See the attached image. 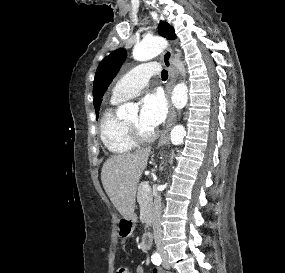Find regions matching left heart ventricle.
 <instances>
[{"label":"left heart ventricle","instance_id":"left-heart-ventricle-1","mask_svg":"<svg viewBox=\"0 0 285 273\" xmlns=\"http://www.w3.org/2000/svg\"><path fill=\"white\" fill-rule=\"evenodd\" d=\"M126 122L133 127H137L145 134H150L153 132V130L141 126L138 114L132 115Z\"/></svg>","mask_w":285,"mask_h":273}]
</instances>
